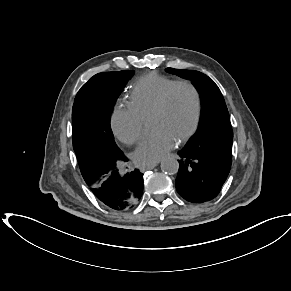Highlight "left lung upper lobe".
I'll list each match as a JSON object with an SVG mask.
<instances>
[{
	"label": "left lung upper lobe",
	"mask_w": 291,
	"mask_h": 291,
	"mask_svg": "<svg viewBox=\"0 0 291 291\" xmlns=\"http://www.w3.org/2000/svg\"><path fill=\"white\" fill-rule=\"evenodd\" d=\"M168 73L190 80L200 95L201 116L196 133L184 149L232 161L233 131L229 113L218 86L205 74L194 70L167 68Z\"/></svg>",
	"instance_id": "left-lung-upper-lobe-1"
}]
</instances>
